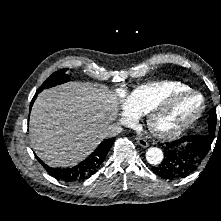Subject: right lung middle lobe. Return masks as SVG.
Returning <instances> with one entry per match:
<instances>
[{"label": "right lung middle lobe", "instance_id": "right-lung-middle-lobe-1", "mask_svg": "<svg viewBox=\"0 0 221 221\" xmlns=\"http://www.w3.org/2000/svg\"><path fill=\"white\" fill-rule=\"evenodd\" d=\"M67 70L68 69H62V70H59V71H56L55 73H53L42 84V86L39 88V91H42L43 89L50 88V87L68 82L69 81V76L66 75Z\"/></svg>", "mask_w": 221, "mask_h": 221}]
</instances>
